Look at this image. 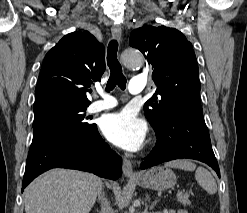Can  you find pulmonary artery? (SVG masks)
Wrapping results in <instances>:
<instances>
[{"instance_id":"pulmonary-artery-1","label":"pulmonary artery","mask_w":247,"mask_h":213,"mask_svg":"<svg viewBox=\"0 0 247 213\" xmlns=\"http://www.w3.org/2000/svg\"><path fill=\"white\" fill-rule=\"evenodd\" d=\"M146 85L145 77H134L130 81L129 92L132 94H138L144 91ZM98 94L102 97L99 100L92 102L88 110L89 112L96 113L103 110L111 109L117 105V100L111 95L98 91Z\"/></svg>"}]
</instances>
